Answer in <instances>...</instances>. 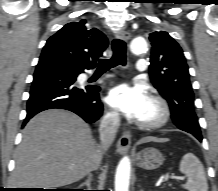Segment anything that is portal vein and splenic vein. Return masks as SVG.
Masks as SVG:
<instances>
[{"instance_id":"obj_1","label":"portal vein and splenic vein","mask_w":218,"mask_h":191,"mask_svg":"<svg viewBox=\"0 0 218 191\" xmlns=\"http://www.w3.org/2000/svg\"><path fill=\"white\" fill-rule=\"evenodd\" d=\"M169 179H171V180H184L183 177H179V176H175V175H171V176L167 175V176H165V181H168Z\"/></svg>"}]
</instances>
